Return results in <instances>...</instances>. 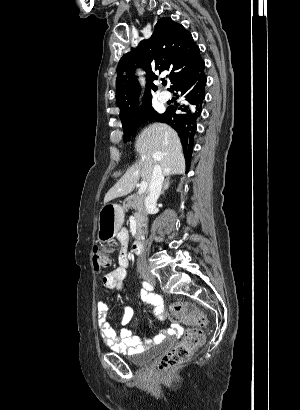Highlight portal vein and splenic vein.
<instances>
[{"mask_svg":"<svg viewBox=\"0 0 300 410\" xmlns=\"http://www.w3.org/2000/svg\"><path fill=\"white\" fill-rule=\"evenodd\" d=\"M147 187H148V183L147 182H141V184H140V187H139V190H138V194L139 195H141V194H143L146 190H147Z\"/></svg>","mask_w":300,"mask_h":410,"instance_id":"portal-vein-and-splenic-vein-1","label":"portal vein and splenic vein"}]
</instances>
